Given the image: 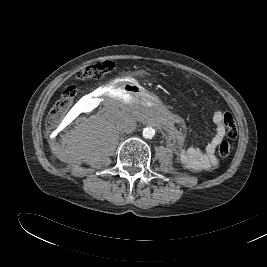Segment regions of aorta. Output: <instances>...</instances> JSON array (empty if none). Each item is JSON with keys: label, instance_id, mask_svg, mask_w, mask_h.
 <instances>
[{"label": "aorta", "instance_id": "762f6f07", "mask_svg": "<svg viewBox=\"0 0 267 267\" xmlns=\"http://www.w3.org/2000/svg\"><path fill=\"white\" fill-rule=\"evenodd\" d=\"M155 135V130L151 127H147L143 130V137L146 139H152Z\"/></svg>", "mask_w": 267, "mask_h": 267}]
</instances>
